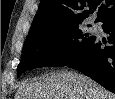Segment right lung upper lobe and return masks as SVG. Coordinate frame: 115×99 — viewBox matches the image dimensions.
I'll use <instances>...</instances> for the list:
<instances>
[{
  "label": "right lung upper lobe",
  "mask_w": 115,
  "mask_h": 99,
  "mask_svg": "<svg viewBox=\"0 0 115 99\" xmlns=\"http://www.w3.org/2000/svg\"><path fill=\"white\" fill-rule=\"evenodd\" d=\"M95 10L99 22L115 11V0H41L27 37L81 23Z\"/></svg>",
  "instance_id": "right-lung-upper-lobe-1"
}]
</instances>
